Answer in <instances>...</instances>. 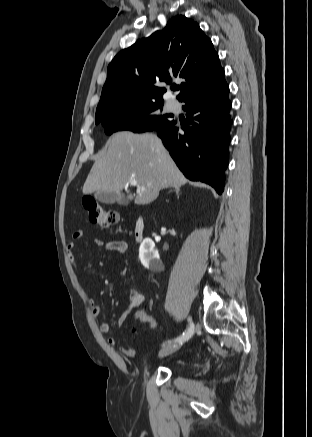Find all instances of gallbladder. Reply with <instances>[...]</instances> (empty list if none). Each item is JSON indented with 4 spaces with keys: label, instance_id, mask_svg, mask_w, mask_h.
<instances>
[{
    "label": "gallbladder",
    "instance_id": "bac80fb5",
    "mask_svg": "<svg viewBox=\"0 0 312 437\" xmlns=\"http://www.w3.org/2000/svg\"><path fill=\"white\" fill-rule=\"evenodd\" d=\"M95 198L99 202L106 203V204H113L115 202H118L120 204L127 203L125 199L120 198V196L115 192H107V191L96 192Z\"/></svg>",
    "mask_w": 312,
    "mask_h": 437
}]
</instances>
